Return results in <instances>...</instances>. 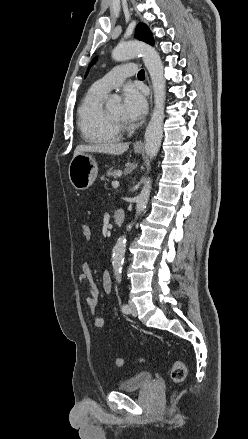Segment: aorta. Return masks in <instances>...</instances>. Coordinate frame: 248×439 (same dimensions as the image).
Here are the masks:
<instances>
[{
    "label": "aorta",
    "instance_id": "aorta-1",
    "mask_svg": "<svg viewBox=\"0 0 248 439\" xmlns=\"http://www.w3.org/2000/svg\"><path fill=\"white\" fill-rule=\"evenodd\" d=\"M136 56H141L145 67L147 68L153 86L154 92V109L151 119L145 132V151L150 158H154L161 145L163 137L164 121V102H165V78L163 73V63L158 52L150 45L140 41H130L117 45L112 51V57L116 61H125ZM151 180H145V184L140 194L136 197V214L137 218L145 209L150 197ZM133 223L127 226L130 231ZM126 235L118 238L113 248V270L119 275L122 271L124 256L126 252Z\"/></svg>",
    "mask_w": 248,
    "mask_h": 439
}]
</instances>
